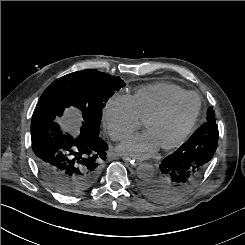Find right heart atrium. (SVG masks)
<instances>
[{"mask_svg":"<svg viewBox=\"0 0 245 245\" xmlns=\"http://www.w3.org/2000/svg\"><path fill=\"white\" fill-rule=\"evenodd\" d=\"M103 123L113 140L126 139L141 126L132 97L115 94L111 96L102 111Z\"/></svg>","mask_w":245,"mask_h":245,"instance_id":"1","label":"right heart atrium"}]
</instances>
